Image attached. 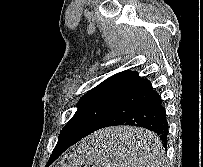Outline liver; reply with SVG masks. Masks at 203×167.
Wrapping results in <instances>:
<instances>
[{
  "instance_id": "obj_1",
  "label": "liver",
  "mask_w": 203,
  "mask_h": 167,
  "mask_svg": "<svg viewBox=\"0 0 203 167\" xmlns=\"http://www.w3.org/2000/svg\"><path fill=\"white\" fill-rule=\"evenodd\" d=\"M147 133L143 129L132 127H116L101 132L113 141L111 152L114 159L128 163L129 167L140 166L139 144Z\"/></svg>"
}]
</instances>
